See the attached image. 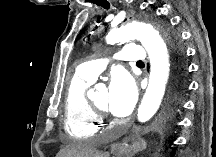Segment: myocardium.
Segmentation results:
<instances>
[{
	"instance_id": "obj_1",
	"label": "myocardium",
	"mask_w": 216,
	"mask_h": 157,
	"mask_svg": "<svg viewBox=\"0 0 216 157\" xmlns=\"http://www.w3.org/2000/svg\"><path fill=\"white\" fill-rule=\"evenodd\" d=\"M91 106L93 110L100 116V115H106L107 109L100 107L94 100L90 101Z\"/></svg>"
}]
</instances>
